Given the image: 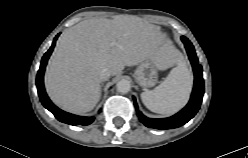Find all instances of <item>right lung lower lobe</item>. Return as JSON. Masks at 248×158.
I'll list each match as a JSON object with an SVG mask.
<instances>
[{
  "label": "right lung lower lobe",
  "mask_w": 248,
  "mask_h": 158,
  "mask_svg": "<svg viewBox=\"0 0 248 158\" xmlns=\"http://www.w3.org/2000/svg\"><path fill=\"white\" fill-rule=\"evenodd\" d=\"M59 34L54 38L53 44L50 47V49L44 54L40 69L37 74L36 78V85L38 89V94L40 97V101L42 102L43 106L47 108L52 114L61 122L70 124V125H89L94 121V117H83V116H77L73 115L67 112L62 111L58 107H56L48 98L45 89H44V83H43V77H44V71L45 67L48 61V58L50 57L52 50L55 46L56 39L58 38Z\"/></svg>",
  "instance_id": "right-lung-lower-lobe-1"
}]
</instances>
